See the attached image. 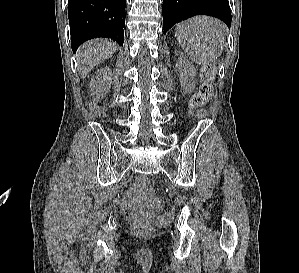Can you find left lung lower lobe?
<instances>
[{"label":"left lung lower lobe","instance_id":"left-lung-lower-lobe-1","mask_svg":"<svg viewBox=\"0 0 299 273\" xmlns=\"http://www.w3.org/2000/svg\"><path fill=\"white\" fill-rule=\"evenodd\" d=\"M164 34L176 23L195 15L219 18L231 25V11L228 0H163Z\"/></svg>","mask_w":299,"mask_h":273}]
</instances>
